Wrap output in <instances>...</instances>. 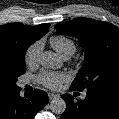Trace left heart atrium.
I'll return each mask as SVG.
<instances>
[{
  "label": "left heart atrium",
  "mask_w": 119,
  "mask_h": 119,
  "mask_svg": "<svg viewBox=\"0 0 119 119\" xmlns=\"http://www.w3.org/2000/svg\"><path fill=\"white\" fill-rule=\"evenodd\" d=\"M68 79L69 75L67 73L48 70L42 71L37 76V80L39 83L51 89L59 88Z\"/></svg>",
  "instance_id": "39dd6f15"
}]
</instances>
